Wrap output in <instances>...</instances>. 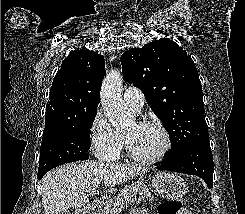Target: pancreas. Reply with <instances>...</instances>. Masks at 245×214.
Here are the masks:
<instances>
[{
  "mask_svg": "<svg viewBox=\"0 0 245 214\" xmlns=\"http://www.w3.org/2000/svg\"><path fill=\"white\" fill-rule=\"evenodd\" d=\"M138 198L139 201L147 200L154 201L149 188L144 184L127 185L118 194L116 199L108 201L105 207L104 214H117L125 204L132 203Z\"/></svg>",
  "mask_w": 245,
  "mask_h": 214,
  "instance_id": "pancreas-1",
  "label": "pancreas"
}]
</instances>
